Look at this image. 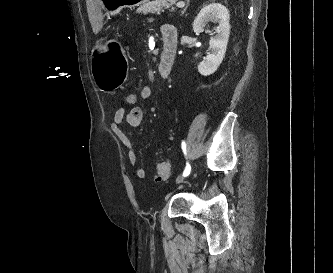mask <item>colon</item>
<instances>
[{
  "label": "colon",
  "instance_id": "5ec220e1",
  "mask_svg": "<svg viewBox=\"0 0 333 273\" xmlns=\"http://www.w3.org/2000/svg\"><path fill=\"white\" fill-rule=\"evenodd\" d=\"M124 105L135 107L137 104V95L134 92L126 93L123 97ZM170 176V164L166 161L160 162L156 167V178L159 181L166 180Z\"/></svg>",
  "mask_w": 333,
  "mask_h": 273
}]
</instances>
